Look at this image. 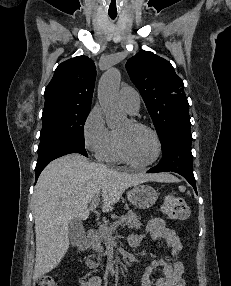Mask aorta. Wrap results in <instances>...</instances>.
Segmentation results:
<instances>
[{
	"instance_id": "aorta-1",
	"label": "aorta",
	"mask_w": 231,
	"mask_h": 286,
	"mask_svg": "<svg viewBox=\"0 0 231 286\" xmlns=\"http://www.w3.org/2000/svg\"><path fill=\"white\" fill-rule=\"evenodd\" d=\"M120 81V72L116 68H111L103 74L98 85L99 103L109 128H115L127 119V115L118 100Z\"/></svg>"
}]
</instances>
